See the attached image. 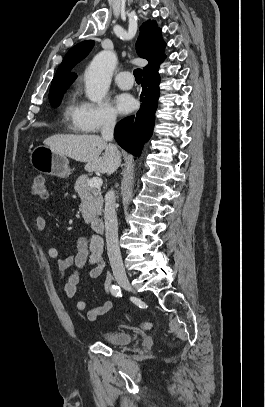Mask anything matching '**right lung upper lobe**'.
Listing matches in <instances>:
<instances>
[{"mask_svg":"<svg viewBox=\"0 0 265 407\" xmlns=\"http://www.w3.org/2000/svg\"><path fill=\"white\" fill-rule=\"evenodd\" d=\"M93 46V40H86L71 48L58 67L51 86L72 83L77 78V75L71 74L70 71L89 54ZM164 47L165 43L161 38V30L156 22L147 21L144 23L140 28V34L136 43L138 55L148 60V65L144 68V72L164 56Z\"/></svg>","mask_w":265,"mask_h":407,"instance_id":"cb5924a9","label":"right lung upper lobe"}]
</instances>
